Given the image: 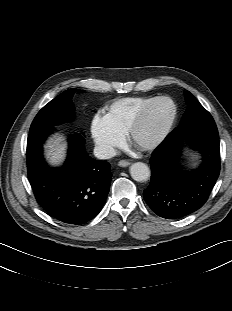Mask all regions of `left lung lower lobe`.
Here are the masks:
<instances>
[{
    "mask_svg": "<svg viewBox=\"0 0 232 311\" xmlns=\"http://www.w3.org/2000/svg\"><path fill=\"white\" fill-rule=\"evenodd\" d=\"M203 156L195 171L183 170L179 156L184 140ZM151 182L144 199L160 217L177 219L193 213L207 201L220 172L218 130L212 116L181 121L152 152Z\"/></svg>",
    "mask_w": 232,
    "mask_h": 311,
    "instance_id": "left-lung-lower-lobe-1",
    "label": "left lung lower lobe"
}]
</instances>
